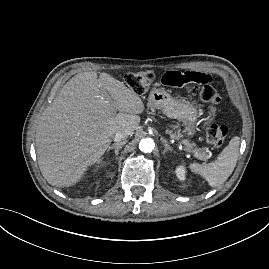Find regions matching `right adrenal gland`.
<instances>
[{
  "label": "right adrenal gland",
  "mask_w": 269,
  "mask_h": 269,
  "mask_svg": "<svg viewBox=\"0 0 269 269\" xmlns=\"http://www.w3.org/2000/svg\"><path fill=\"white\" fill-rule=\"evenodd\" d=\"M126 144V142L114 143L112 146L108 147L107 152L114 149L116 156L119 154V150Z\"/></svg>",
  "instance_id": "obj_1"
}]
</instances>
